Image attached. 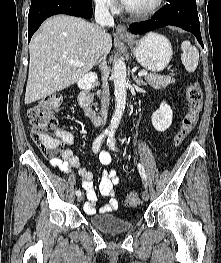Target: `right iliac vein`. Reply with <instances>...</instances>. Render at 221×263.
<instances>
[{"label":"right iliac vein","mask_w":221,"mask_h":263,"mask_svg":"<svg viewBox=\"0 0 221 263\" xmlns=\"http://www.w3.org/2000/svg\"><path fill=\"white\" fill-rule=\"evenodd\" d=\"M83 200H84V194L78 195L77 201H78V202H81V201H83Z\"/></svg>","instance_id":"63e3f726"}]
</instances>
